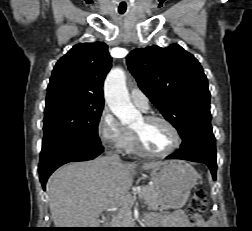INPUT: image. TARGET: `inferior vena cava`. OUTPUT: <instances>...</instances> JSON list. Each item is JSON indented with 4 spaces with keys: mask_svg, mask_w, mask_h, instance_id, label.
Here are the masks:
<instances>
[{
    "mask_svg": "<svg viewBox=\"0 0 252 231\" xmlns=\"http://www.w3.org/2000/svg\"><path fill=\"white\" fill-rule=\"evenodd\" d=\"M104 159L114 164H119L121 162L120 157L117 154L107 151H106V157H104Z\"/></svg>",
    "mask_w": 252,
    "mask_h": 231,
    "instance_id": "inferior-vena-cava-1",
    "label": "inferior vena cava"
}]
</instances>
